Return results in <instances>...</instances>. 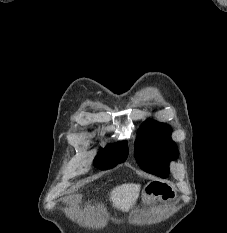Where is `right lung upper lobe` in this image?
Masks as SVG:
<instances>
[{
    "mask_svg": "<svg viewBox=\"0 0 227 233\" xmlns=\"http://www.w3.org/2000/svg\"><path fill=\"white\" fill-rule=\"evenodd\" d=\"M121 144H123L127 148V142H121ZM127 150H128V148H127Z\"/></svg>",
    "mask_w": 227,
    "mask_h": 233,
    "instance_id": "right-lung-upper-lobe-1",
    "label": "right lung upper lobe"
}]
</instances>
